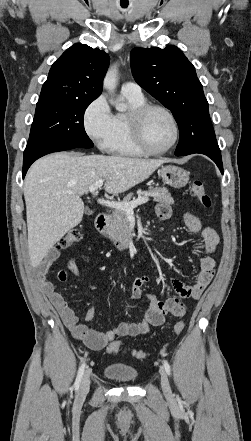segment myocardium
Here are the masks:
<instances>
[{
    "label": "myocardium",
    "instance_id": "f54148a6",
    "mask_svg": "<svg viewBox=\"0 0 251 441\" xmlns=\"http://www.w3.org/2000/svg\"><path fill=\"white\" fill-rule=\"evenodd\" d=\"M153 110H160L162 112H164L171 120L173 128H174V137L172 142L165 148L162 149H155L153 147H151L145 138L144 135V121L145 118L147 117V115L153 111ZM129 124H130V130H131V134L133 137V140L135 141L136 145L145 153L147 154H154V155H158V154H165L167 152H169L171 149H173L178 140H179V136H180V128H179V124L178 121L175 117V115L173 114V112L160 104H144L136 109H134L129 117Z\"/></svg>",
    "mask_w": 251,
    "mask_h": 441
}]
</instances>
